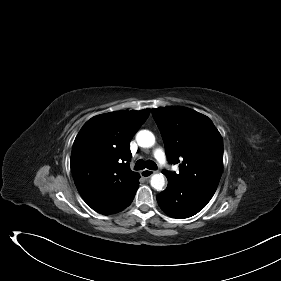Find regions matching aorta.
Masks as SVG:
<instances>
[{
	"instance_id": "obj_1",
	"label": "aorta",
	"mask_w": 281,
	"mask_h": 281,
	"mask_svg": "<svg viewBox=\"0 0 281 281\" xmlns=\"http://www.w3.org/2000/svg\"><path fill=\"white\" fill-rule=\"evenodd\" d=\"M136 141L140 147L150 148L155 144V136L149 130H141L136 134ZM151 186L157 191H161L165 185L163 174H154L151 177Z\"/></svg>"
}]
</instances>
